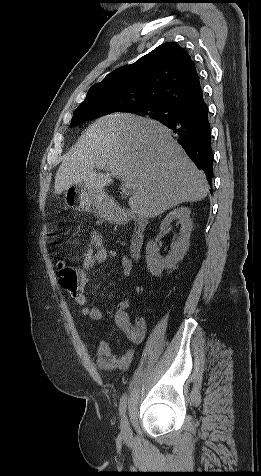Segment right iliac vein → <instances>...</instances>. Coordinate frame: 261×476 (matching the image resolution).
Masks as SVG:
<instances>
[{"instance_id": "1", "label": "right iliac vein", "mask_w": 261, "mask_h": 476, "mask_svg": "<svg viewBox=\"0 0 261 476\" xmlns=\"http://www.w3.org/2000/svg\"><path fill=\"white\" fill-rule=\"evenodd\" d=\"M121 433L124 437H129L131 434V429L127 417H123L121 421Z\"/></svg>"}]
</instances>
